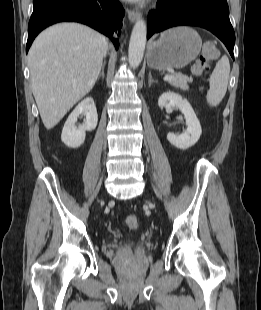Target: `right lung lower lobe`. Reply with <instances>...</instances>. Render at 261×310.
<instances>
[{
  "instance_id": "obj_1",
  "label": "right lung lower lobe",
  "mask_w": 261,
  "mask_h": 310,
  "mask_svg": "<svg viewBox=\"0 0 261 310\" xmlns=\"http://www.w3.org/2000/svg\"><path fill=\"white\" fill-rule=\"evenodd\" d=\"M34 9L28 25V52L34 38L44 28L62 21L80 22L108 36L119 47L124 9L118 0H33Z\"/></svg>"
}]
</instances>
